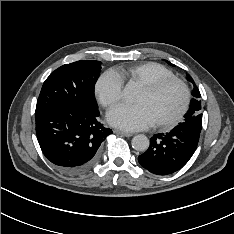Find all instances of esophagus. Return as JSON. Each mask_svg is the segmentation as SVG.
I'll return each mask as SVG.
<instances>
[{
  "label": "esophagus",
  "instance_id": "obj_1",
  "mask_svg": "<svg viewBox=\"0 0 234 234\" xmlns=\"http://www.w3.org/2000/svg\"><path fill=\"white\" fill-rule=\"evenodd\" d=\"M114 133L120 134V135L125 136V137H131L133 135L132 133L124 132V131H120V130H114Z\"/></svg>",
  "mask_w": 234,
  "mask_h": 234
}]
</instances>
